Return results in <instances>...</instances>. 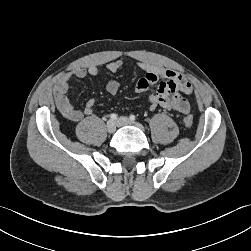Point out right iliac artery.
I'll return each instance as SVG.
<instances>
[{
  "instance_id": "82829eb1",
  "label": "right iliac artery",
  "mask_w": 251,
  "mask_h": 251,
  "mask_svg": "<svg viewBox=\"0 0 251 251\" xmlns=\"http://www.w3.org/2000/svg\"><path fill=\"white\" fill-rule=\"evenodd\" d=\"M117 117H118V115L115 114V113H113V114L110 115V119H111V120H116Z\"/></svg>"
}]
</instances>
